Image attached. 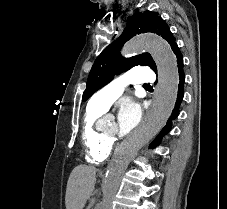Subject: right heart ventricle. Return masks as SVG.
<instances>
[{"label": "right heart ventricle", "instance_id": "1", "mask_svg": "<svg viewBox=\"0 0 227 209\" xmlns=\"http://www.w3.org/2000/svg\"><path fill=\"white\" fill-rule=\"evenodd\" d=\"M104 111V108L89 105L81 123V138L85 146V158L89 163L96 166L104 164L112 151L111 142L103 136V132L96 128V123Z\"/></svg>", "mask_w": 227, "mask_h": 209}]
</instances>
